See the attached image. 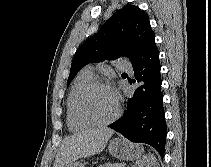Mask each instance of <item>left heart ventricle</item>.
<instances>
[{"mask_svg":"<svg viewBox=\"0 0 211 167\" xmlns=\"http://www.w3.org/2000/svg\"><path fill=\"white\" fill-rule=\"evenodd\" d=\"M84 109L96 120H107L115 112L114 96L108 89L95 88L86 96Z\"/></svg>","mask_w":211,"mask_h":167,"instance_id":"obj_1","label":"left heart ventricle"}]
</instances>
